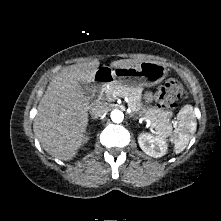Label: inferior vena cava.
I'll return each instance as SVG.
<instances>
[{
  "label": "inferior vena cava",
  "mask_w": 221,
  "mask_h": 221,
  "mask_svg": "<svg viewBox=\"0 0 221 221\" xmlns=\"http://www.w3.org/2000/svg\"><path fill=\"white\" fill-rule=\"evenodd\" d=\"M107 110L108 107L106 104L98 102L91 107L90 114L93 117V119H96L101 117Z\"/></svg>",
  "instance_id": "1"
}]
</instances>
